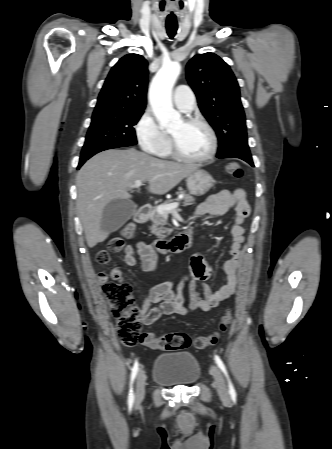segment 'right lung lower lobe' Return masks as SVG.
<instances>
[{"mask_svg":"<svg viewBox=\"0 0 332 449\" xmlns=\"http://www.w3.org/2000/svg\"><path fill=\"white\" fill-rule=\"evenodd\" d=\"M119 147H122V146H106V147H102V148H99L97 150H94L92 152H88V153L82 154L81 157H80V162H79V165H78V169L82 166V164L86 160H88L90 157H92L96 153L104 151V150H107V149H113V148H119Z\"/></svg>","mask_w":332,"mask_h":449,"instance_id":"1","label":"right lung lower lobe"}]
</instances>
